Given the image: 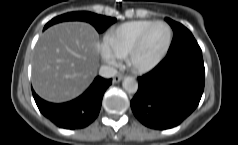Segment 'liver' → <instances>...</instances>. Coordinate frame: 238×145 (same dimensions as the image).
I'll return each mask as SVG.
<instances>
[{
    "label": "liver",
    "instance_id": "liver-1",
    "mask_svg": "<svg viewBox=\"0 0 238 145\" xmlns=\"http://www.w3.org/2000/svg\"><path fill=\"white\" fill-rule=\"evenodd\" d=\"M99 67V37L85 22L48 28L34 49L32 84L43 99L61 103L79 96Z\"/></svg>",
    "mask_w": 238,
    "mask_h": 145
}]
</instances>
